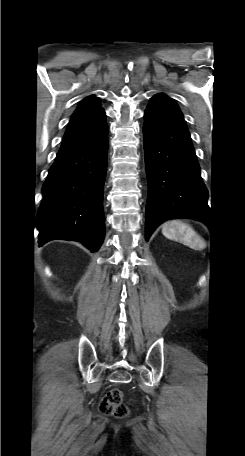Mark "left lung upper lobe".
<instances>
[{"label":"left lung upper lobe","instance_id":"5c2ea615","mask_svg":"<svg viewBox=\"0 0 245 456\" xmlns=\"http://www.w3.org/2000/svg\"><path fill=\"white\" fill-rule=\"evenodd\" d=\"M157 96L167 97L166 95H163V94H158ZM167 98H169V97H167Z\"/></svg>","mask_w":245,"mask_h":456}]
</instances>
